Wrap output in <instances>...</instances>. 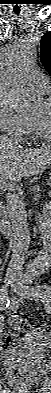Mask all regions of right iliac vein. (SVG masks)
Returning a JSON list of instances; mask_svg holds the SVG:
<instances>
[{
  "label": "right iliac vein",
  "instance_id": "obj_1",
  "mask_svg": "<svg viewBox=\"0 0 51 393\" xmlns=\"http://www.w3.org/2000/svg\"><path fill=\"white\" fill-rule=\"evenodd\" d=\"M15 281H16V278H15L14 274H12V273L6 274L5 279H4L6 288L8 285H13L15 283Z\"/></svg>",
  "mask_w": 51,
  "mask_h": 393
}]
</instances>
